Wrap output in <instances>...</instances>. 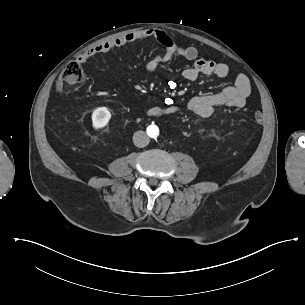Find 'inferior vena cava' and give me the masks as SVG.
<instances>
[{
	"label": "inferior vena cava",
	"instance_id": "602c4592",
	"mask_svg": "<svg viewBox=\"0 0 305 305\" xmlns=\"http://www.w3.org/2000/svg\"><path fill=\"white\" fill-rule=\"evenodd\" d=\"M133 143L139 148L145 147L149 144V137L142 130L136 131L133 135Z\"/></svg>",
	"mask_w": 305,
	"mask_h": 305
}]
</instances>
